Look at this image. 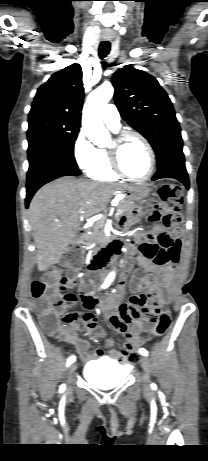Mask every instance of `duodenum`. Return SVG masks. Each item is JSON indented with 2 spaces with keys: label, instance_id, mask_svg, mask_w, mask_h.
Masks as SVG:
<instances>
[{
  "label": "duodenum",
  "instance_id": "duodenum-1",
  "mask_svg": "<svg viewBox=\"0 0 208 461\" xmlns=\"http://www.w3.org/2000/svg\"><path fill=\"white\" fill-rule=\"evenodd\" d=\"M77 241L80 244H85L88 241V235L87 232L83 229L78 230L77 232ZM122 242L121 237H117L114 240L108 241L103 248L93 257L91 261V268L93 270H97L101 268L106 262L110 259V254H109V244L115 243V244H120Z\"/></svg>",
  "mask_w": 208,
  "mask_h": 461
}]
</instances>
